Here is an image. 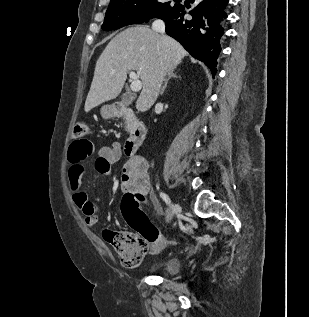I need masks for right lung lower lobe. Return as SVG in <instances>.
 <instances>
[{"label":"right lung lower lobe","mask_w":309,"mask_h":317,"mask_svg":"<svg viewBox=\"0 0 309 317\" xmlns=\"http://www.w3.org/2000/svg\"><path fill=\"white\" fill-rule=\"evenodd\" d=\"M228 2L196 0V7L190 11L176 4L154 17L165 21L166 33L179 41L194 58L202 61L212 71L213 77L221 52L220 39L224 34Z\"/></svg>","instance_id":"1"}]
</instances>
